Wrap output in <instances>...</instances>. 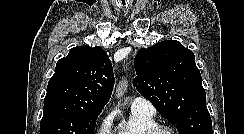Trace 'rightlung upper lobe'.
I'll return each mask as SVG.
<instances>
[{"label":"right lung upper lobe","instance_id":"cb5924a9","mask_svg":"<svg viewBox=\"0 0 244 134\" xmlns=\"http://www.w3.org/2000/svg\"><path fill=\"white\" fill-rule=\"evenodd\" d=\"M113 84V68L101 47H74L57 62L44 105L58 103L100 114L109 101Z\"/></svg>","mask_w":244,"mask_h":134}]
</instances>
